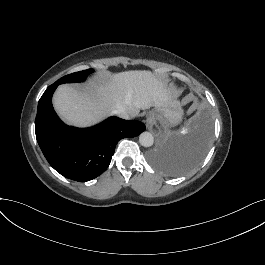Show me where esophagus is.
<instances>
[{
  "mask_svg": "<svg viewBox=\"0 0 265 265\" xmlns=\"http://www.w3.org/2000/svg\"><path fill=\"white\" fill-rule=\"evenodd\" d=\"M147 129L153 134H159L161 132L158 123L155 121L153 116H148L146 119Z\"/></svg>",
  "mask_w": 265,
  "mask_h": 265,
  "instance_id": "1",
  "label": "esophagus"
}]
</instances>
